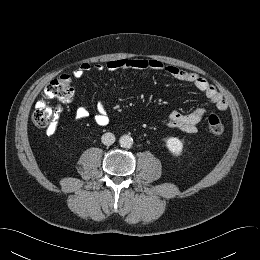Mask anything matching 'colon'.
<instances>
[{
	"instance_id": "5ec220e1",
	"label": "colon",
	"mask_w": 260,
	"mask_h": 260,
	"mask_svg": "<svg viewBox=\"0 0 260 260\" xmlns=\"http://www.w3.org/2000/svg\"><path fill=\"white\" fill-rule=\"evenodd\" d=\"M73 95L74 89L69 75H61L50 81L44 89V98L37 103L33 112V123L39 128L53 132L59 117V109L51 106L50 101L55 100L60 103H68L72 100ZM207 128L214 137H219L224 132V125L215 114H211L207 118Z\"/></svg>"
}]
</instances>
